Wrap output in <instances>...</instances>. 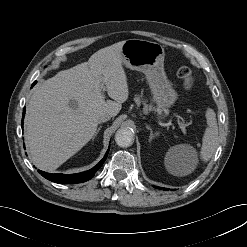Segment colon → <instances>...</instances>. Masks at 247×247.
<instances>
[{"label":"colon","mask_w":247,"mask_h":247,"mask_svg":"<svg viewBox=\"0 0 247 247\" xmlns=\"http://www.w3.org/2000/svg\"><path fill=\"white\" fill-rule=\"evenodd\" d=\"M178 77L181 79L184 89L190 90L194 85L192 73L188 67H180L177 71Z\"/></svg>","instance_id":"obj_1"}]
</instances>
